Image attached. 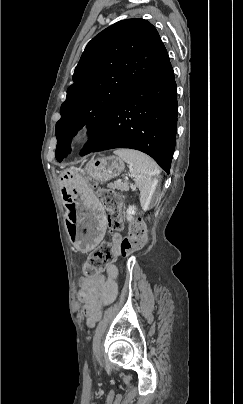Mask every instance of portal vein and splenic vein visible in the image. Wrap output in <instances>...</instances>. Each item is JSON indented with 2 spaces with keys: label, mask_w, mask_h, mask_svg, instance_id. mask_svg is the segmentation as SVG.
I'll return each instance as SVG.
<instances>
[{
  "label": "portal vein and splenic vein",
  "mask_w": 243,
  "mask_h": 404,
  "mask_svg": "<svg viewBox=\"0 0 243 404\" xmlns=\"http://www.w3.org/2000/svg\"><path fill=\"white\" fill-rule=\"evenodd\" d=\"M130 178H131V179H134V178H135V175H134V174H131V175H130Z\"/></svg>",
  "instance_id": "obj_1"
}]
</instances>
